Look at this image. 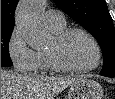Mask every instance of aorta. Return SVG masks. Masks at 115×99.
<instances>
[{"label": "aorta", "mask_w": 115, "mask_h": 99, "mask_svg": "<svg viewBox=\"0 0 115 99\" xmlns=\"http://www.w3.org/2000/svg\"><path fill=\"white\" fill-rule=\"evenodd\" d=\"M45 0H25L16 11V26L31 47H42L48 39V31L42 15Z\"/></svg>", "instance_id": "1"}]
</instances>
